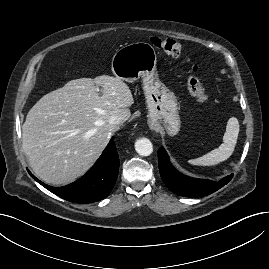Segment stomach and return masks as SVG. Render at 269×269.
Listing matches in <instances>:
<instances>
[{
  "instance_id": "1",
  "label": "stomach",
  "mask_w": 269,
  "mask_h": 269,
  "mask_svg": "<svg viewBox=\"0 0 269 269\" xmlns=\"http://www.w3.org/2000/svg\"><path fill=\"white\" fill-rule=\"evenodd\" d=\"M156 63L154 47L146 42H136L117 50L112 58L111 68L113 74L123 81L132 83L142 79L150 126L175 136L181 127L177 100L159 80Z\"/></svg>"
}]
</instances>
